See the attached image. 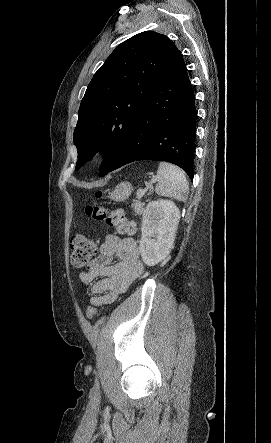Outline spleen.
Here are the masks:
<instances>
[{
	"label": "spleen",
	"mask_w": 271,
	"mask_h": 443,
	"mask_svg": "<svg viewBox=\"0 0 271 443\" xmlns=\"http://www.w3.org/2000/svg\"><path fill=\"white\" fill-rule=\"evenodd\" d=\"M157 178L159 182L156 184L155 192L158 196L173 198L179 202L187 200L186 192H188L189 186L183 170L172 166V164H167V162H160Z\"/></svg>",
	"instance_id": "1"
}]
</instances>
